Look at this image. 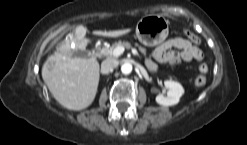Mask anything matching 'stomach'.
Returning <instances> with one entry per match:
<instances>
[{
  "instance_id": "obj_1",
  "label": "stomach",
  "mask_w": 247,
  "mask_h": 145,
  "mask_svg": "<svg viewBox=\"0 0 247 145\" xmlns=\"http://www.w3.org/2000/svg\"><path fill=\"white\" fill-rule=\"evenodd\" d=\"M169 34V21L160 15H148L140 19L136 26V36L145 46L161 44Z\"/></svg>"
}]
</instances>
